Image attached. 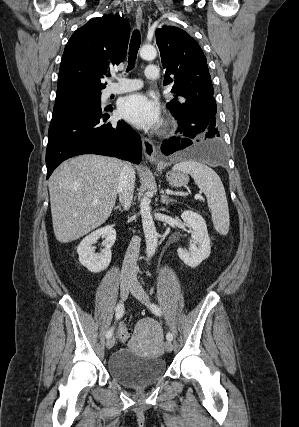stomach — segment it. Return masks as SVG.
Wrapping results in <instances>:
<instances>
[{
    "instance_id": "stomach-1",
    "label": "stomach",
    "mask_w": 299,
    "mask_h": 427,
    "mask_svg": "<svg viewBox=\"0 0 299 427\" xmlns=\"http://www.w3.org/2000/svg\"><path fill=\"white\" fill-rule=\"evenodd\" d=\"M166 179L170 186L182 187L188 184L189 177L184 172L171 171L166 175Z\"/></svg>"
}]
</instances>
